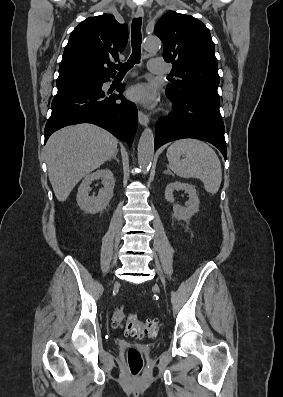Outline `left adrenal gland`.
<instances>
[{"instance_id": "1", "label": "left adrenal gland", "mask_w": 283, "mask_h": 397, "mask_svg": "<svg viewBox=\"0 0 283 397\" xmlns=\"http://www.w3.org/2000/svg\"><path fill=\"white\" fill-rule=\"evenodd\" d=\"M164 174H168V175H172L173 176V173L170 171L168 166H167V170L164 171Z\"/></svg>"}]
</instances>
